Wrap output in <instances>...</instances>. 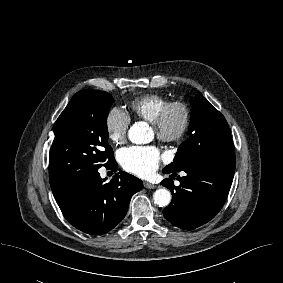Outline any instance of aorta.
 I'll return each mask as SVG.
<instances>
[{"mask_svg":"<svg viewBox=\"0 0 283 283\" xmlns=\"http://www.w3.org/2000/svg\"><path fill=\"white\" fill-rule=\"evenodd\" d=\"M128 137L132 143L144 144L151 141L152 134L147 123L136 122L130 127ZM153 200L159 207H166L171 201V193L165 188L158 189L153 194Z\"/></svg>","mask_w":283,"mask_h":283,"instance_id":"aorta-1","label":"aorta"}]
</instances>
